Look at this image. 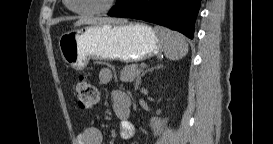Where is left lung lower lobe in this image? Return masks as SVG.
Masks as SVG:
<instances>
[{
	"mask_svg": "<svg viewBox=\"0 0 273 144\" xmlns=\"http://www.w3.org/2000/svg\"><path fill=\"white\" fill-rule=\"evenodd\" d=\"M200 2L201 0H118L109 15L153 22L193 39Z\"/></svg>",
	"mask_w": 273,
	"mask_h": 144,
	"instance_id": "obj_1",
	"label": "left lung lower lobe"
}]
</instances>
